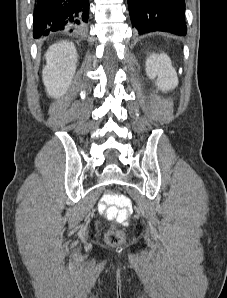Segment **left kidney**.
I'll use <instances>...</instances> for the list:
<instances>
[{
	"mask_svg": "<svg viewBox=\"0 0 227 298\" xmlns=\"http://www.w3.org/2000/svg\"><path fill=\"white\" fill-rule=\"evenodd\" d=\"M145 67L150 79L157 77L156 84L162 91H169L177 87V73L167 54H151L146 60Z\"/></svg>",
	"mask_w": 227,
	"mask_h": 298,
	"instance_id": "5707ae66",
	"label": "left kidney"
}]
</instances>
